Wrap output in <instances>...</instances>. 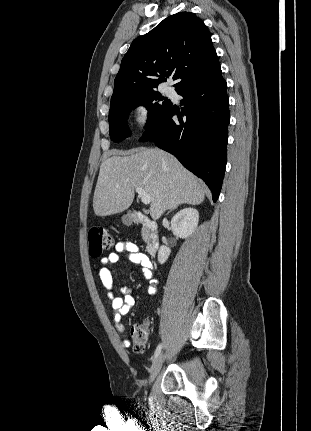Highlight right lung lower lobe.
Here are the masks:
<instances>
[{"label":"right lung lower lobe","mask_w":311,"mask_h":431,"mask_svg":"<svg viewBox=\"0 0 311 431\" xmlns=\"http://www.w3.org/2000/svg\"><path fill=\"white\" fill-rule=\"evenodd\" d=\"M227 83L221 69L187 83L176 92L183 96L182 113L171 105L148 124L140 141H153L202 178L216 202L226 167L230 121ZM177 114L178 120H172Z\"/></svg>","instance_id":"98d812e1"}]
</instances>
